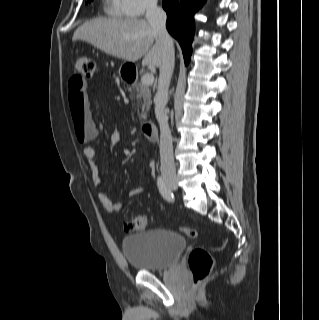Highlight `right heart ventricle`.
<instances>
[{"instance_id": "right-heart-ventricle-1", "label": "right heart ventricle", "mask_w": 319, "mask_h": 320, "mask_svg": "<svg viewBox=\"0 0 319 320\" xmlns=\"http://www.w3.org/2000/svg\"><path fill=\"white\" fill-rule=\"evenodd\" d=\"M105 3L106 9L111 15L119 16L121 14L122 11L120 10L116 0H106Z\"/></svg>"}]
</instances>
